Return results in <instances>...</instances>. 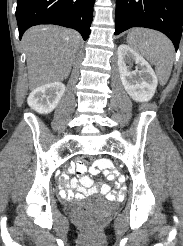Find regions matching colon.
Returning <instances> with one entry per match:
<instances>
[{"mask_svg":"<svg viewBox=\"0 0 183 246\" xmlns=\"http://www.w3.org/2000/svg\"><path fill=\"white\" fill-rule=\"evenodd\" d=\"M95 161V155H82L81 162H85L86 165H89L90 162ZM81 221L90 228H94L97 224V216L90 211L84 212L81 215Z\"/></svg>","mask_w":183,"mask_h":246,"instance_id":"5ec220e1","label":"colon"}]
</instances>
